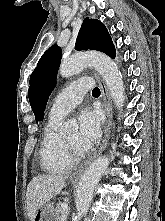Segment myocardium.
<instances>
[{
	"label": "myocardium",
	"mask_w": 165,
	"mask_h": 221,
	"mask_svg": "<svg viewBox=\"0 0 165 221\" xmlns=\"http://www.w3.org/2000/svg\"><path fill=\"white\" fill-rule=\"evenodd\" d=\"M62 142L67 154L75 162L83 159L86 156V151L78 150L65 138V136H62Z\"/></svg>",
	"instance_id": "1"
}]
</instances>
